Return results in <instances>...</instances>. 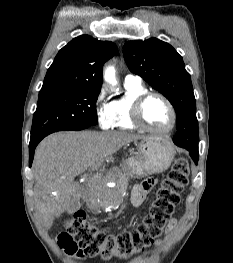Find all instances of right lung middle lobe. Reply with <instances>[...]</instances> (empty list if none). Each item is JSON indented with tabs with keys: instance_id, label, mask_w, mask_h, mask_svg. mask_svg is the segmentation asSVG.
<instances>
[{
	"instance_id": "right-lung-middle-lobe-1",
	"label": "right lung middle lobe",
	"mask_w": 233,
	"mask_h": 263,
	"mask_svg": "<svg viewBox=\"0 0 233 263\" xmlns=\"http://www.w3.org/2000/svg\"><path fill=\"white\" fill-rule=\"evenodd\" d=\"M99 93L100 89H70L39 95L30 141L68 128L96 125Z\"/></svg>"
}]
</instances>
